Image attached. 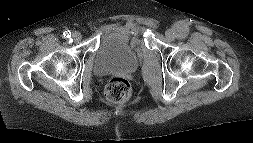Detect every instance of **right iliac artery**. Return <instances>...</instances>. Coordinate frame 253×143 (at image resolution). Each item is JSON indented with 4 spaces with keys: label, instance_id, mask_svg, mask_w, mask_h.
<instances>
[{
    "label": "right iliac artery",
    "instance_id": "82829eb1",
    "mask_svg": "<svg viewBox=\"0 0 253 143\" xmlns=\"http://www.w3.org/2000/svg\"><path fill=\"white\" fill-rule=\"evenodd\" d=\"M63 35H64V37H66V38H70V37H71V32H70L69 30L64 31Z\"/></svg>",
    "mask_w": 253,
    "mask_h": 143
}]
</instances>
